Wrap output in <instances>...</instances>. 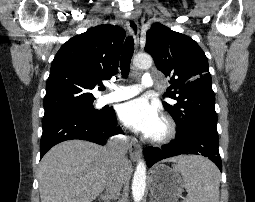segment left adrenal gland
<instances>
[{
  "mask_svg": "<svg viewBox=\"0 0 255 202\" xmlns=\"http://www.w3.org/2000/svg\"><path fill=\"white\" fill-rule=\"evenodd\" d=\"M150 202H155L151 196H150Z\"/></svg>",
  "mask_w": 255,
  "mask_h": 202,
  "instance_id": "left-adrenal-gland-1",
  "label": "left adrenal gland"
}]
</instances>
